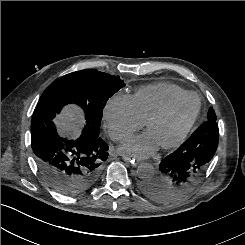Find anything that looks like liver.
<instances>
[{
    "label": "liver",
    "mask_w": 245,
    "mask_h": 245,
    "mask_svg": "<svg viewBox=\"0 0 245 245\" xmlns=\"http://www.w3.org/2000/svg\"><path fill=\"white\" fill-rule=\"evenodd\" d=\"M55 122L63 129L64 131H70L74 134H77L79 131L78 124L80 123V112L74 107H67L63 111L62 116L58 117Z\"/></svg>",
    "instance_id": "1"
}]
</instances>
